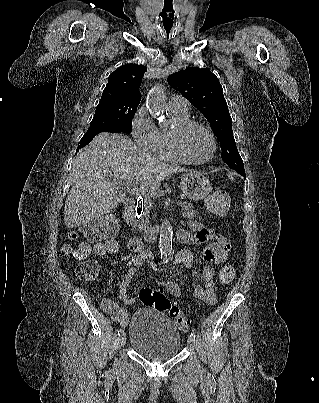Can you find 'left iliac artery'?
Here are the masks:
<instances>
[{"label": "left iliac artery", "instance_id": "obj_1", "mask_svg": "<svg viewBox=\"0 0 319 403\" xmlns=\"http://www.w3.org/2000/svg\"><path fill=\"white\" fill-rule=\"evenodd\" d=\"M190 337H192V338H194L195 339V334L194 333H191V335H190Z\"/></svg>", "mask_w": 319, "mask_h": 403}]
</instances>
